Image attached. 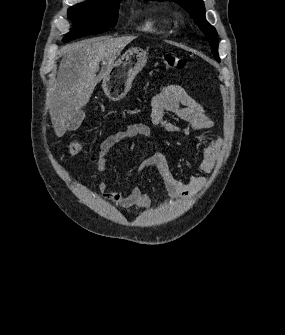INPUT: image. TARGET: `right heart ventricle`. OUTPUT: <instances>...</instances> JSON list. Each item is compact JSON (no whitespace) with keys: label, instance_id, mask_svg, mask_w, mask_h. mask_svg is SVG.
I'll use <instances>...</instances> for the list:
<instances>
[{"label":"right heart ventricle","instance_id":"1","mask_svg":"<svg viewBox=\"0 0 285 335\" xmlns=\"http://www.w3.org/2000/svg\"><path fill=\"white\" fill-rule=\"evenodd\" d=\"M144 29L146 31L154 32V33H161V30L157 29L151 22H148L145 26Z\"/></svg>","mask_w":285,"mask_h":335}]
</instances>
